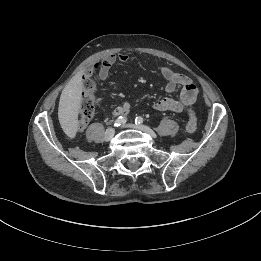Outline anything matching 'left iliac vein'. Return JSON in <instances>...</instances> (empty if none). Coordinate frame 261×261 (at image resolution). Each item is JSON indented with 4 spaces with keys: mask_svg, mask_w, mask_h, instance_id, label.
Returning <instances> with one entry per match:
<instances>
[{
    "mask_svg": "<svg viewBox=\"0 0 261 261\" xmlns=\"http://www.w3.org/2000/svg\"><path fill=\"white\" fill-rule=\"evenodd\" d=\"M123 127H129V128H132V129H137V130H140L142 132L149 134L153 138L156 137V134L154 133V131L151 128H149L148 126H145V125L126 124V125H123Z\"/></svg>",
    "mask_w": 261,
    "mask_h": 261,
    "instance_id": "obj_1",
    "label": "left iliac vein"
}]
</instances>
